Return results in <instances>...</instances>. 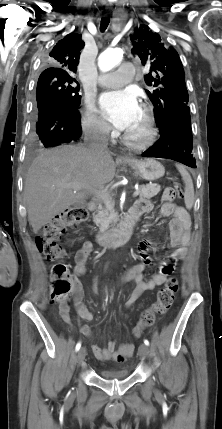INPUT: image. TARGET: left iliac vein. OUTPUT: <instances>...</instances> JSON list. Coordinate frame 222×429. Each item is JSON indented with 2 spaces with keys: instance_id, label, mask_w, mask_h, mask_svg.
<instances>
[{
  "instance_id": "left-iliac-vein-1",
  "label": "left iliac vein",
  "mask_w": 222,
  "mask_h": 429,
  "mask_svg": "<svg viewBox=\"0 0 222 429\" xmlns=\"http://www.w3.org/2000/svg\"><path fill=\"white\" fill-rule=\"evenodd\" d=\"M139 355L143 358H147L149 355V347L145 344H141L138 349Z\"/></svg>"
}]
</instances>
